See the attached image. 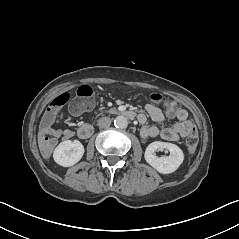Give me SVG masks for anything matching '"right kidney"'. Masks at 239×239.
Segmentation results:
<instances>
[{
  "label": "right kidney",
  "instance_id": "obj_1",
  "mask_svg": "<svg viewBox=\"0 0 239 239\" xmlns=\"http://www.w3.org/2000/svg\"><path fill=\"white\" fill-rule=\"evenodd\" d=\"M84 152V146L79 140H71L56 147L54 160L62 169L69 170L82 159Z\"/></svg>",
  "mask_w": 239,
  "mask_h": 239
}]
</instances>
